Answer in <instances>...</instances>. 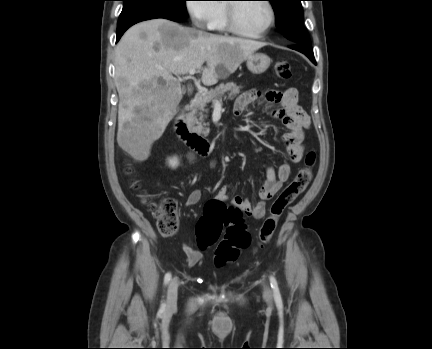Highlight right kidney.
<instances>
[{"mask_svg":"<svg viewBox=\"0 0 432 349\" xmlns=\"http://www.w3.org/2000/svg\"><path fill=\"white\" fill-rule=\"evenodd\" d=\"M168 164L171 168H176L179 165V160L177 157H172L168 159Z\"/></svg>","mask_w":432,"mask_h":349,"instance_id":"1","label":"right kidney"}]
</instances>
